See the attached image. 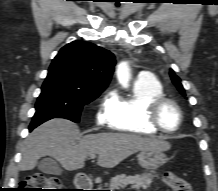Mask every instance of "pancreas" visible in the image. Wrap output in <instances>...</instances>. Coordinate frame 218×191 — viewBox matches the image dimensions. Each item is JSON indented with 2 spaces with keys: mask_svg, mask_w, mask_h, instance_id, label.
Wrapping results in <instances>:
<instances>
[{
  "mask_svg": "<svg viewBox=\"0 0 218 191\" xmlns=\"http://www.w3.org/2000/svg\"><path fill=\"white\" fill-rule=\"evenodd\" d=\"M151 183L152 176L148 173L134 176L120 174L111 179L109 187L112 190H121L125 188L139 190L140 188L147 189Z\"/></svg>",
  "mask_w": 218,
  "mask_h": 191,
  "instance_id": "1",
  "label": "pancreas"
}]
</instances>
